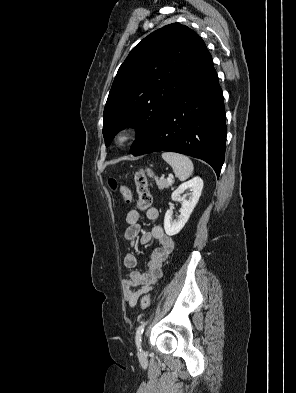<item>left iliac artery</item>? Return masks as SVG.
Segmentation results:
<instances>
[{"instance_id":"44dca946","label":"left iliac artery","mask_w":296,"mask_h":393,"mask_svg":"<svg viewBox=\"0 0 296 393\" xmlns=\"http://www.w3.org/2000/svg\"><path fill=\"white\" fill-rule=\"evenodd\" d=\"M147 324V322H143L136 331V336H135V340H136V345L138 348H140V343H141V335L144 331V327ZM141 350V349H140Z\"/></svg>"}]
</instances>
